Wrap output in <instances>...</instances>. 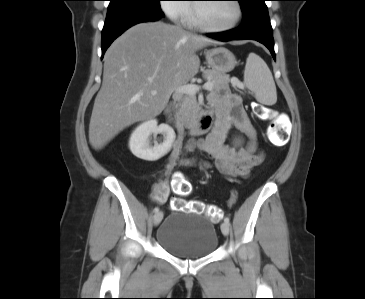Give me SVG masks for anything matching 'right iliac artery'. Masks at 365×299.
I'll return each mask as SVG.
<instances>
[{
	"label": "right iliac artery",
	"mask_w": 365,
	"mask_h": 299,
	"mask_svg": "<svg viewBox=\"0 0 365 299\" xmlns=\"http://www.w3.org/2000/svg\"><path fill=\"white\" fill-rule=\"evenodd\" d=\"M159 211V207L154 208V212L157 213Z\"/></svg>",
	"instance_id": "obj_1"
}]
</instances>
